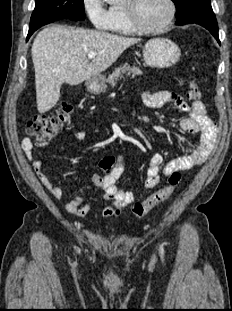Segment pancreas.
Masks as SVG:
<instances>
[{
    "label": "pancreas",
    "instance_id": "1",
    "mask_svg": "<svg viewBox=\"0 0 232 311\" xmlns=\"http://www.w3.org/2000/svg\"><path fill=\"white\" fill-rule=\"evenodd\" d=\"M130 76L132 75H142V70L137 66H130L129 64H124L122 67L115 69V71L109 75L107 79L104 80L102 92H105L107 85L106 83H116L119 79H122L124 75Z\"/></svg>",
    "mask_w": 232,
    "mask_h": 311
}]
</instances>
